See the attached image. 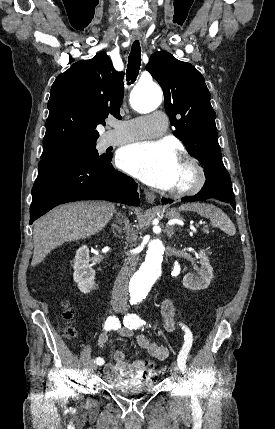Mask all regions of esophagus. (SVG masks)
I'll list each match as a JSON object with an SVG mask.
<instances>
[{
  "label": "esophagus",
  "instance_id": "esophagus-1",
  "mask_svg": "<svg viewBox=\"0 0 275 429\" xmlns=\"http://www.w3.org/2000/svg\"><path fill=\"white\" fill-rule=\"evenodd\" d=\"M140 38V36H138V35H134V36H132V39L133 40H138ZM144 194H145V198H146V200L150 203V204H153L154 202H155V198H156V196H155V194L153 193V192H150V191H148V190H145L144 191Z\"/></svg>",
  "mask_w": 275,
  "mask_h": 429
}]
</instances>
